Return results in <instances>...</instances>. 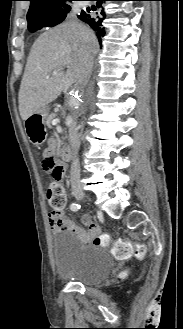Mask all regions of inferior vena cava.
I'll return each mask as SVG.
<instances>
[{
  "label": "inferior vena cava",
  "mask_w": 183,
  "mask_h": 329,
  "mask_svg": "<svg viewBox=\"0 0 183 329\" xmlns=\"http://www.w3.org/2000/svg\"><path fill=\"white\" fill-rule=\"evenodd\" d=\"M81 63V76L79 85L81 88H84L91 77L92 70H93V57L88 51H84L81 55L80 59ZM69 139L70 145L73 151V161L71 165V182L72 184H78L80 179V165L78 159V150L80 148V135L78 133L77 124L73 121L69 128Z\"/></svg>",
  "instance_id": "inferior-vena-cava-1"
}]
</instances>
